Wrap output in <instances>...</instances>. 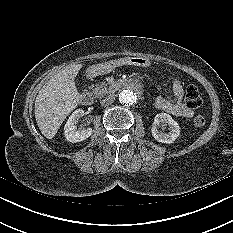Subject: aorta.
Returning <instances> with one entry per match:
<instances>
[{
  "label": "aorta",
  "mask_w": 233,
  "mask_h": 233,
  "mask_svg": "<svg viewBox=\"0 0 233 233\" xmlns=\"http://www.w3.org/2000/svg\"><path fill=\"white\" fill-rule=\"evenodd\" d=\"M142 93L143 88L140 83L130 82L119 93V101L125 105H132L140 99Z\"/></svg>",
  "instance_id": "obj_1"
}]
</instances>
